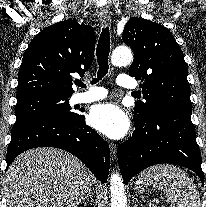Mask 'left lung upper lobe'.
Returning <instances> with one entry per match:
<instances>
[{"label":"left lung upper lobe","mask_w":206,"mask_h":207,"mask_svg":"<svg viewBox=\"0 0 206 207\" xmlns=\"http://www.w3.org/2000/svg\"><path fill=\"white\" fill-rule=\"evenodd\" d=\"M122 39L134 50L129 75L141 80L145 99L136 102L134 121L146 122L157 107L192 111L187 65L172 33L158 23L131 19Z\"/></svg>","instance_id":"left-lung-upper-lobe-1"}]
</instances>
